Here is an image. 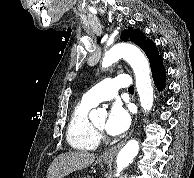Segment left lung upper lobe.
Here are the masks:
<instances>
[{
  "mask_svg": "<svg viewBox=\"0 0 194 178\" xmlns=\"http://www.w3.org/2000/svg\"><path fill=\"white\" fill-rule=\"evenodd\" d=\"M121 40L132 41L140 46L141 49L146 53L151 67L159 58H161L155 44L150 39H147L146 36L139 30H134L133 28L129 27L128 30H124L121 33Z\"/></svg>",
  "mask_w": 194,
  "mask_h": 178,
  "instance_id": "5c2ea615",
  "label": "left lung upper lobe"
}]
</instances>
